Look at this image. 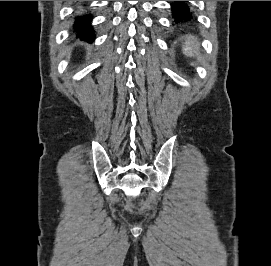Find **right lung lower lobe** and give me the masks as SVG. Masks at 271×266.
<instances>
[{
	"label": "right lung lower lobe",
	"mask_w": 271,
	"mask_h": 266,
	"mask_svg": "<svg viewBox=\"0 0 271 266\" xmlns=\"http://www.w3.org/2000/svg\"><path fill=\"white\" fill-rule=\"evenodd\" d=\"M92 16L90 14L81 15L75 18L73 25L74 31L77 36L88 41L94 40L93 28L91 26Z\"/></svg>",
	"instance_id": "obj_1"
}]
</instances>
